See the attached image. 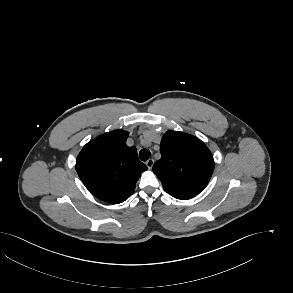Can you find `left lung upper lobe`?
Returning <instances> with one entry per match:
<instances>
[{
	"label": "left lung upper lobe",
	"mask_w": 293,
	"mask_h": 293,
	"mask_svg": "<svg viewBox=\"0 0 293 293\" xmlns=\"http://www.w3.org/2000/svg\"><path fill=\"white\" fill-rule=\"evenodd\" d=\"M161 158L153 165V172L164 190L177 199H190L208 184L214 159L207 146L190 134L167 131L160 144Z\"/></svg>",
	"instance_id": "5c2ea615"
}]
</instances>
